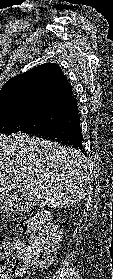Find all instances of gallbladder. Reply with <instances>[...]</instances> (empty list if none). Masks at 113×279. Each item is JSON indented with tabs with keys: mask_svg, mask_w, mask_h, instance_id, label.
Masks as SVG:
<instances>
[{
	"mask_svg": "<svg viewBox=\"0 0 113 279\" xmlns=\"http://www.w3.org/2000/svg\"><path fill=\"white\" fill-rule=\"evenodd\" d=\"M5 211L7 213L11 212V208L7 205L6 199H0V212Z\"/></svg>",
	"mask_w": 113,
	"mask_h": 279,
	"instance_id": "1",
	"label": "gallbladder"
}]
</instances>
